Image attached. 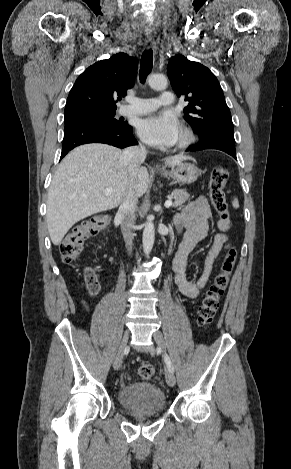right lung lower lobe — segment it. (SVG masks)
Returning <instances> with one entry per match:
<instances>
[{
	"instance_id": "obj_1",
	"label": "right lung lower lobe",
	"mask_w": 291,
	"mask_h": 469,
	"mask_svg": "<svg viewBox=\"0 0 291 469\" xmlns=\"http://www.w3.org/2000/svg\"><path fill=\"white\" fill-rule=\"evenodd\" d=\"M87 143H104L118 148L138 144L132 134V127L127 122L117 124L75 120L65 124L61 158L76 146Z\"/></svg>"
}]
</instances>
